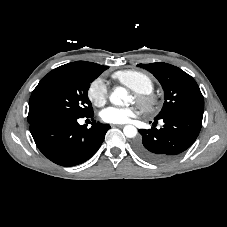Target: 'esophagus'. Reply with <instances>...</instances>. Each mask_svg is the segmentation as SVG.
I'll list each match as a JSON object with an SVG mask.
<instances>
[{
  "label": "esophagus",
  "mask_w": 227,
  "mask_h": 227,
  "mask_svg": "<svg viewBox=\"0 0 227 227\" xmlns=\"http://www.w3.org/2000/svg\"><path fill=\"white\" fill-rule=\"evenodd\" d=\"M124 125H122V124H114V125H112V127H123Z\"/></svg>",
  "instance_id": "34e87169"
}]
</instances>
